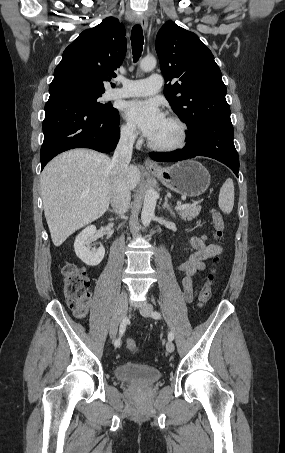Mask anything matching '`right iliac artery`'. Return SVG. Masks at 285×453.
Masks as SVG:
<instances>
[{"label":"right iliac artery","mask_w":285,"mask_h":453,"mask_svg":"<svg viewBox=\"0 0 285 453\" xmlns=\"http://www.w3.org/2000/svg\"><path fill=\"white\" fill-rule=\"evenodd\" d=\"M126 324H127V320L126 318H124L120 324V328H119V337L115 340L114 342V345L116 347H118L120 345V341H121V336L123 335V333L125 332V329H126Z\"/></svg>","instance_id":"1"}]
</instances>
